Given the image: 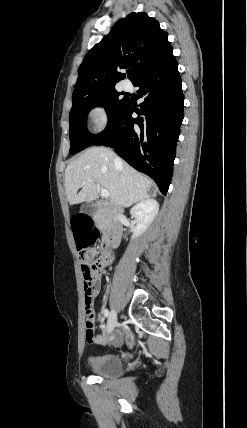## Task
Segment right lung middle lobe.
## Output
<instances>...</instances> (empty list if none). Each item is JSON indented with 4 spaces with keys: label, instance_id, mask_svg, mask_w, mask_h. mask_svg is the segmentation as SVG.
I'll return each instance as SVG.
<instances>
[{
    "label": "right lung middle lobe",
    "instance_id": "dd1d6c3e",
    "mask_svg": "<svg viewBox=\"0 0 247 428\" xmlns=\"http://www.w3.org/2000/svg\"><path fill=\"white\" fill-rule=\"evenodd\" d=\"M120 94L115 88H112L87 94L73 100L69 114L71 154H75L91 145L112 125L128 102L127 98L120 99ZM95 106H103L106 109L109 120L106 129L102 133L91 135L86 128V118L88 112Z\"/></svg>",
    "mask_w": 247,
    "mask_h": 428
}]
</instances>
